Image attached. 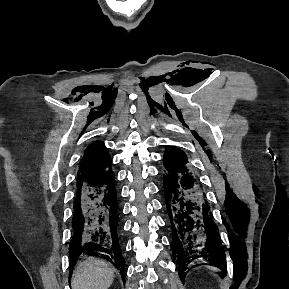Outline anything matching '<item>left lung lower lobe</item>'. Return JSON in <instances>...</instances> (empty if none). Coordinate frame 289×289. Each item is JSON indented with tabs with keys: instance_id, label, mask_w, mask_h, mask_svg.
<instances>
[{
	"instance_id": "1",
	"label": "left lung lower lobe",
	"mask_w": 289,
	"mask_h": 289,
	"mask_svg": "<svg viewBox=\"0 0 289 289\" xmlns=\"http://www.w3.org/2000/svg\"><path fill=\"white\" fill-rule=\"evenodd\" d=\"M163 164L164 196L173 232L171 249L184 281L187 264L199 257L224 258V250L203 187L187 156L167 148ZM215 265L225 270V265Z\"/></svg>"
}]
</instances>
